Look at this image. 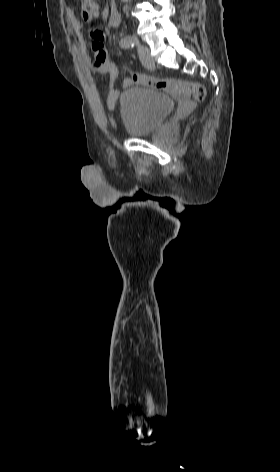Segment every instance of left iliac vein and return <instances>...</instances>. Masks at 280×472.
I'll return each instance as SVG.
<instances>
[{
    "label": "left iliac vein",
    "instance_id": "obj_1",
    "mask_svg": "<svg viewBox=\"0 0 280 472\" xmlns=\"http://www.w3.org/2000/svg\"><path fill=\"white\" fill-rule=\"evenodd\" d=\"M138 55L142 64L147 68L154 67V59L150 54V50L145 45L138 44L137 46Z\"/></svg>",
    "mask_w": 280,
    "mask_h": 472
}]
</instances>
